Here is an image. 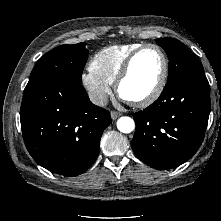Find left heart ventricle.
<instances>
[{"label": "left heart ventricle", "mask_w": 221, "mask_h": 221, "mask_svg": "<svg viewBox=\"0 0 221 221\" xmlns=\"http://www.w3.org/2000/svg\"><path fill=\"white\" fill-rule=\"evenodd\" d=\"M162 71V58L154 48H147L135 59L131 72L121 86V93L128 100L148 96L156 87Z\"/></svg>", "instance_id": "obj_1"}]
</instances>
